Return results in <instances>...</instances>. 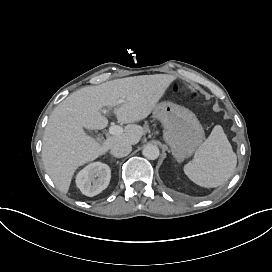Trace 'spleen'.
Instances as JSON below:
<instances>
[{
  "label": "spleen",
  "instance_id": "3e777b00",
  "mask_svg": "<svg viewBox=\"0 0 272 272\" xmlns=\"http://www.w3.org/2000/svg\"><path fill=\"white\" fill-rule=\"evenodd\" d=\"M236 164L237 156L222 126L216 125L196 150L194 159L184 166V172L197 185L215 188L232 176Z\"/></svg>",
  "mask_w": 272,
  "mask_h": 272
}]
</instances>
